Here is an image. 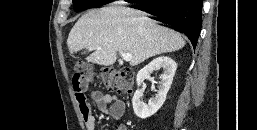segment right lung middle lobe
<instances>
[{"instance_id": "dd1d6c3e", "label": "right lung middle lobe", "mask_w": 257, "mask_h": 130, "mask_svg": "<svg viewBox=\"0 0 257 130\" xmlns=\"http://www.w3.org/2000/svg\"><path fill=\"white\" fill-rule=\"evenodd\" d=\"M108 0H73L75 11L79 12L92 7L105 5Z\"/></svg>"}]
</instances>
